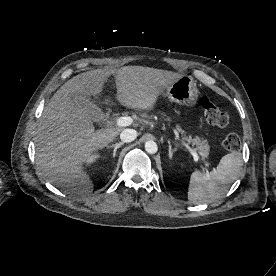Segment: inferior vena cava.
<instances>
[{"instance_id":"obj_1","label":"inferior vena cava","mask_w":276,"mask_h":276,"mask_svg":"<svg viewBox=\"0 0 276 276\" xmlns=\"http://www.w3.org/2000/svg\"><path fill=\"white\" fill-rule=\"evenodd\" d=\"M137 131L134 129H124L120 133V139L122 142L129 143L136 139Z\"/></svg>"}]
</instances>
